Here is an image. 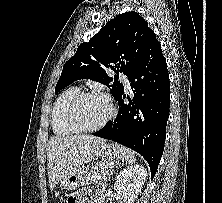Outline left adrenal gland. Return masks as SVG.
Listing matches in <instances>:
<instances>
[{"instance_id": "1", "label": "left adrenal gland", "mask_w": 222, "mask_h": 203, "mask_svg": "<svg viewBox=\"0 0 222 203\" xmlns=\"http://www.w3.org/2000/svg\"><path fill=\"white\" fill-rule=\"evenodd\" d=\"M113 171H114V170H112V171L110 172V175H109V177H108V180H110V177L112 176Z\"/></svg>"}]
</instances>
